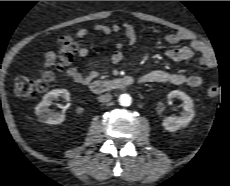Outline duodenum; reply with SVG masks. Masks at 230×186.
<instances>
[{
	"instance_id": "obj_1",
	"label": "duodenum",
	"mask_w": 230,
	"mask_h": 186,
	"mask_svg": "<svg viewBox=\"0 0 230 186\" xmlns=\"http://www.w3.org/2000/svg\"><path fill=\"white\" fill-rule=\"evenodd\" d=\"M137 82L132 76H123L112 79L95 80L91 83L90 88L94 93L100 94L113 90L124 89L134 85ZM139 82H142L139 79Z\"/></svg>"
}]
</instances>
